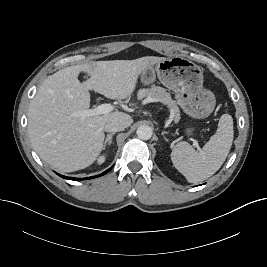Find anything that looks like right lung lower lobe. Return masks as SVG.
<instances>
[{
	"mask_svg": "<svg viewBox=\"0 0 267 267\" xmlns=\"http://www.w3.org/2000/svg\"><path fill=\"white\" fill-rule=\"evenodd\" d=\"M111 168H112V167H111ZM111 168H109L108 170H106L105 172H103V173L100 174V175L93 176V177H89V179H90V178H96V177L102 176V175L106 174L107 172H109V171L111 170ZM58 175L61 176L62 178L69 179V180H75V181L83 180V179H78V178H73V177L63 176V175H60V174H58ZM85 179H87V178H85Z\"/></svg>",
	"mask_w": 267,
	"mask_h": 267,
	"instance_id": "98d812e1",
	"label": "right lung lower lobe"
}]
</instances>
